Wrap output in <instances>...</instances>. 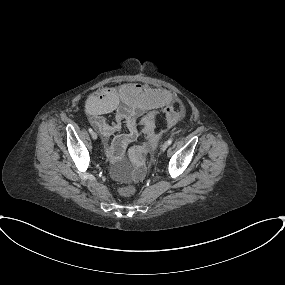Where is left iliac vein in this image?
<instances>
[{"label":"left iliac vein","instance_id":"left-iliac-vein-1","mask_svg":"<svg viewBox=\"0 0 285 285\" xmlns=\"http://www.w3.org/2000/svg\"><path fill=\"white\" fill-rule=\"evenodd\" d=\"M169 144L168 142H164L162 145H161V151L164 152L167 148H168Z\"/></svg>","mask_w":285,"mask_h":285}]
</instances>
